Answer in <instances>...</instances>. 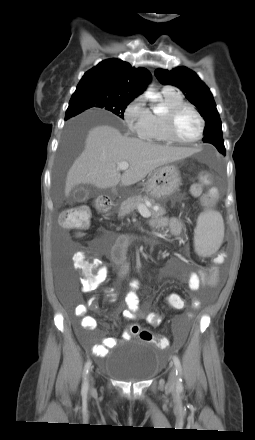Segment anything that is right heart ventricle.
<instances>
[{
  "mask_svg": "<svg viewBox=\"0 0 255 440\" xmlns=\"http://www.w3.org/2000/svg\"><path fill=\"white\" fill-rule=\"evenodd\" d=\"M161 103L164 107V110L166 111L169 108L175 107L185 102L181 93L169 87L168 89H163L161 91ZM164 112L151 113L149 128L147 132L142 136V139L155 143L169 142L164 129V123H163Z\"/></svg>",
  "mask_w": 255,
  "mask_h": 440,
  "instance_id": "obj_1",
  "label": "right heart ventricle"
}]
</instances>
